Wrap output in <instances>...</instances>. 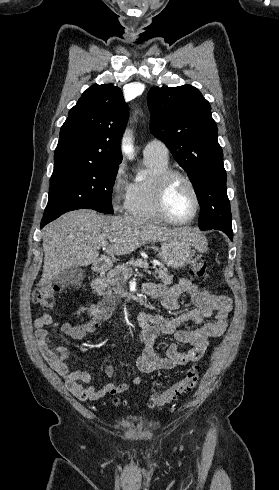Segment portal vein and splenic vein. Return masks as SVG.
<instances>
[{
	"instance_id": "obj_1",
	"label": "portal vein and splenic vein",
	"mask_w": 279,
	"mask_h": 490,
	"mask_svg": "<svg viewBox=\"0 0 279 490\" xmlns=\"http://www.w3.org/2000/svg\"><path fill=\"white\" fill-rule=\"evenodd\" d=\"M102 246L105 248V246H107V242H104ZM135 266H137V268H149L148 262H142V260H140V262H135Z\"/></svg>"
}]
</instances>
